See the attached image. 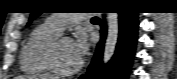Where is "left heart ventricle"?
<instances>
[{
    "mask_svg": "<svg viewBox=\"0 0 177 79\" xmlns=\"http://www.w3.org/2000/svg\"><path fill=\"white\" fill-rule=\"evenodd\" d=\"M58 63L62 69L69 70L76 67L80 59L76 56L71 39H63L57 49Z\"/></svg>",
    "mask_w": 177,
    "mask_h": 79,
    "instance_id": "left-heart-ventricle-1",
    "label": "left heart ventricle"
}]
</instances>
